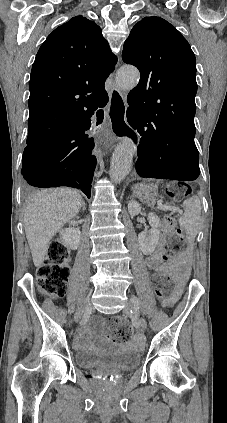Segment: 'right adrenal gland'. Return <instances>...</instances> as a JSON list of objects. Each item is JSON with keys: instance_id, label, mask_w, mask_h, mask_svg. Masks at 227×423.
<instances>
[{"instance_id": "2a0ac1e0", "label": "right adrenal gland", "mask_w": 227, "mask_h": 423, "mask_svg": "<svg viewBox=\"0 0 227 423\" xmlns=\"http://www.w3.org/2000/svg\"><path fill=\"white\" fill-rule=\"evenodd\" d=\"M81 204L83 206V210H86L85 202H81Z\"/></svg>"}]
</instances>
